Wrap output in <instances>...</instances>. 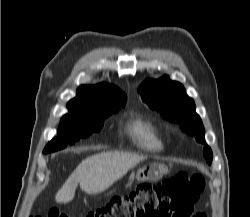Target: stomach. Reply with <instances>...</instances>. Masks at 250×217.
Returning a JSON list of instances; mask_svg holds the SVG:
<instances>
[{
    "label": "stomach",
    "mask_w": 250,
    "mask_h": 217,
    "mask_svg": "<svg viewBox=\"0 0 250 217\" xmlns=\"http://www.w3.org/2000/svg\"><path fill=\"white\" fill-rule=\"evenodd\" d=\"M168 172L164 164L153 163L144 166L137 171L136 178L138 181H157Z\"/></svg>",
    "instance_id": "stomach-1"
}]
</instances>
